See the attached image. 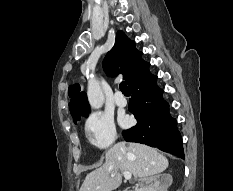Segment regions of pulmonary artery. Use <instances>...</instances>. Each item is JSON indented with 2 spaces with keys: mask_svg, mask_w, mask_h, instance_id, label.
Masks as SVG:
<instances>
[{
  "mask_svg": "<svg viewBox=\"0 0 233 191\" xmlns=\"http://www.w3.org/2000/svg\"><path fill=\"white\" fill-rule=\"evenodd\" d=\"M114 99L115 103L120 107H124L127 105V99L120 91H116Z\"/></svg>",
  "mask_w": 233,
  "mask_h": 191,
  "instance_id": "e3ab8cb5",
  "label": "pulmonary artery"
}]
</instances>
